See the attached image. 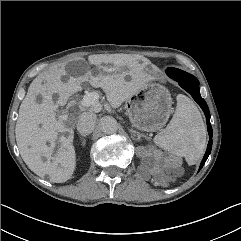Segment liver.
<instances>
[{
	"label": "liver",
	"instance_id": "liver-1",
	"mask_svg": "<svg viewBox=\"0 0 241 241\" xmlns=\"http://www.w3.org/2000/svg\"><path fill=\"white\" fill-rule=\"evenodd\" d=\"M88 61L98 69L102 64L109 67H104L95 76L90 69L85 68L83 75L70 76L66 82L61 80L62 76L67 75L65 64L53 67L33 80L19 108L15 136L20 155L35 174L40 177L48 175L54 183L69 180L76 167L73 129L67 128L64 121L57 120L58 105L80 91L82 84L89 81L93 87L102 88L110 105L118 108L146 87L152 79L146 71L150 62L138 55H90ZM127 76L129 79H126ZM39 94L42 97L40 103L36 101ZM54 94L59 95L56 102L53 100ZM78 118L79 116L73 117L70 123L77 122ZM63 132L69 134L60 138V145L55 155L50 158L54 153L59 133ZM43 156L49 160L44 162Z\"/></svg>",
	"mask_w": 241,
	"mask_h": 241
}]
</instances>
